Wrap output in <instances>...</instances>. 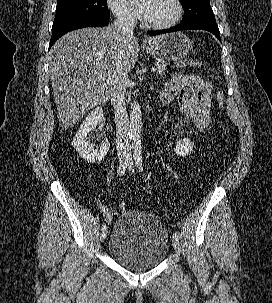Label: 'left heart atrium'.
I'll return each instance as SVG.
<instances>
[{"label":"left heart atrium","instance_id":"left-heart-atrium-1","mask_svg":"<svg viewBox=\"0 0 272 303\" xmlns=\"http://www.w3.org/2000/svg\"><path fill=\"white\" fill-rule=\"evenodd\" d=\"M143 12H144V11H143V9L141 8V13L143 14Z\"/></svg>","mask_w":272,"mask_h":303}]
</instances>
